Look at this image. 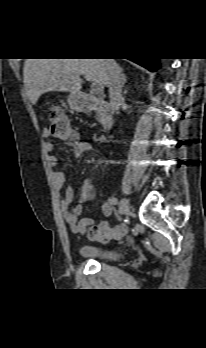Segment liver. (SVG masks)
I'll list each match as a JSON object with an SVG mask.
<instances>
[{"label":"liver","mask_w":206,"mask_h":348,"mask_svg":"<svg viewBox=\"0 0 206 348\" xmlns=\"http://www.w3.org/2000/svg\"><path fill=\"white\" fill-rule=\"evenodd\" d=\"M81 75L108 86L105 59H26L23 68L24 86L33 105L49 91L79 93Z\"/></svg>","instance_id":"6515ba94"}]
</instances>
